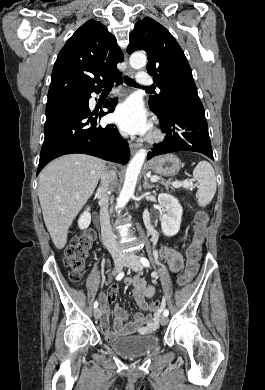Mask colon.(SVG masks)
I'll return each mask as SVG.
<instances>
[{
  "label": "colon",
  "mask_w": 265,
  "mask_h": 390,
  "mask_svg": "<svg viewBox=\"0 0 265 390\" xmlns=\"http://www.w3.org/2000/svg\"><path fill=\"white\" fill-rule=\"evenodd\" d=\"M206 221L207 214L204 211L199 212L196 216L192 242L186 250L187 261L184 272L178 279L181 286L187 285L198 271V261L201 257V248L204 241L203 227ZM94 240L95 232L88 229L75 237L66 248L64 264L69 270V279L72 282L78 283L81 281ZM164 306L165 302L163 300H157L150 304V309L155 316H158Z\"/></svg>",
  "instance_id": "colon-1"
}]
</instances>
